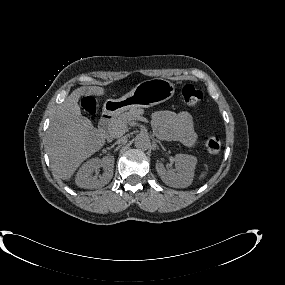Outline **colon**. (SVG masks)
<instances>
[{"label":"colon","mask_w":285,"mask_h":285,"mask_svg":"<svg viewBox=\"0 0 285 285\" xmlns=\"http://www.w3.org/2000/svg\"><path fill=\"white\" fill-rule=\"evenodd\" d=\"M182 97H183L185 104L189 106H193V105L198 104L202 100L203 94L199 89H197L193 85H186L182 89ZM82 103H83L84 108L88 112L90 113L94 112V101L91 97H85L82 100ZM205 147H206V150L211 154L218 153L221 149L220 138L216 136H212L208 138L205 143Z\"/></svg>","instance_id":"colon-1"}]
</instances>
